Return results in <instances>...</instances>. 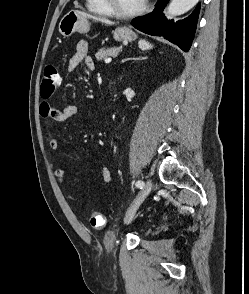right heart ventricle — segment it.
I'll return each mask as SVG.
<instances>
[{
	"label": "right heart ventricle",
	"instance_id": "obj_1",
	"mask_svg": "<svg viewBox=\"0 0 249 294\" xmlns=\"http://www.w3.org/2000/svg\"><path fill=\"white\" fill-rule=\"evenodd\" d=\"M87 9L94 14L101 16H111L110 10L106 7L103 0H86Z\"/></svg>",
	"mask_w": 249,
	"mask_h": 294
}]
</instances>
